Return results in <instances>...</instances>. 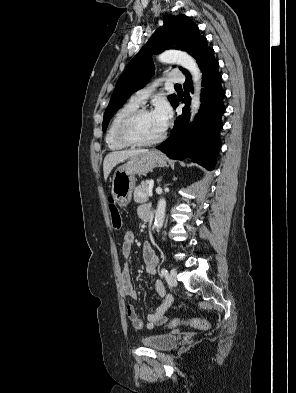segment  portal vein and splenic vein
Returning <instances> with one entry per match:
<instances>
[{"label":"portal vein and splenic vein","instance_id":"1","mask_svg":"<svg viewBox=\"0 0 296 393\" xmlns=\"http://www.w3.org/2000/svg\"><path fill=\"white\" fill-rule=\"evenodd\" d=\"M153 185H154V181H153V180H150V181H149V196H152V188H153Z\"/></svg>","mask_w":296,"mask_h":393}]
</instances>
